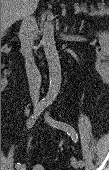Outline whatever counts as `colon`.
Masks as SVG:
<instances>
[{"instance_id":"colon-1","label":"colon","mask_w":109,"mask_h":170,"mask_svg":"<svg viewBox=\"0 0 109 170\" xmlns=\"http://www.w3.org/2000/svg\"><path fill=\"white\" fill-rule=\"evenodd\" d=\"M31 170H45V168L42 165H35Z\"/></svg>"}]
</instances>
